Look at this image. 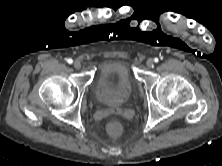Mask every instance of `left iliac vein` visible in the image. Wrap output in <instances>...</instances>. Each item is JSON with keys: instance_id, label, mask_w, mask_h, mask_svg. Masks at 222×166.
<instances>
[{"instance_id": "1", "label": "left iliac vein", "mask_w": 222, "mask_h": 166, "mask_svg": "<svg viewBox=\"0 0 222 166\" xmlns=\"http://www.w3.org/2000/svg\"><path fill=\"white\" fill-rule=\"evenodd\" d=\"M153 64H154V60L151 59V58H149V59L146 61V65H147L149 68L152 67Z\"/></svg>"}]
</instances>
